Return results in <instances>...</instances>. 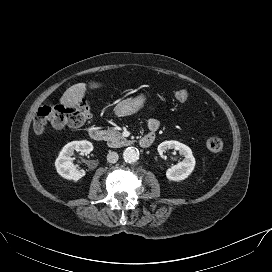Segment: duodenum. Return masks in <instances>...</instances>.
Here are the masks:
<instances>
[{
    "label": "duodenum",
    "mask_w": 272,
    "mask_h": 272,
    "mask_svg": "<svg viewBox=\"0 0 272 272\" xmlns=\"http://www.w3.org/2000/svg\"><path fill=\"white\" fill-rule=\"evenodd\" d=\"M90 138L96 142H101L104 139V132L99 128H92L89 131ZM155 139L153 134H147L140 140V145L143 148L149 147Z\"/></svg>",
    "instance_id": "obj_1"
}]
</instances>
